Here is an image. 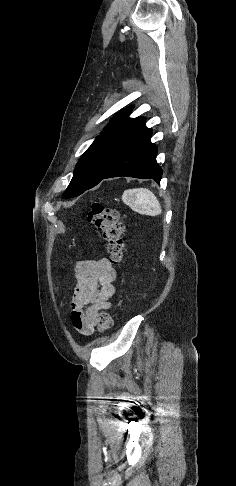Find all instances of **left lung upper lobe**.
<instances>
[{"label":"left lung upper lobe","mask_w":236,"mask_h":486,"mask_svg":"<svg viewBox=\"0 0 236 486\" xmlns=\"http://www.w3.org/2000/svg\"><path fill=\"white\" fill-rule=\"evenodd\" d=\"M130 109L118 112L80 157L73 178L63 194L69 199L96 186L148 128L145 119L129 118Z\"/></svg>","instance_id":"5c2ea615"}]
</instances>
